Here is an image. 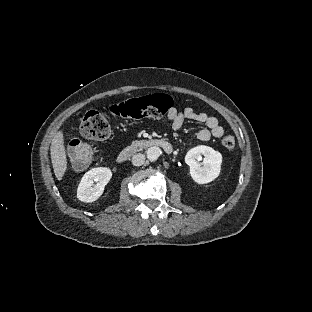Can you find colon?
<instances>
[{"mask_svg": "<svg viewBox=\"0 0 312 312\" xmlns=\"http://www.w3.org/2000/svg\"><path fill=\"white\" fill-rule=\"evenodd\" d=\"M174 99L169 94L148 95L138 99H129L123 101L111 108L116 117L129 120L138 119H159L163 114L172 109ZM79 133L91 139L103 140L111 132V126L105 115L96 109L87 111L81 117L78 125ZM236 140L229 135L223 138L222 146L225 150H232L235 147ZM74 163L80 167L88 164L92 159L93 153L86 146H68Z\"/></svg>", "mask_w": 312, "mask_h": 312, "instance_id": "colon-1", "label": "colon"}]
</instances>
